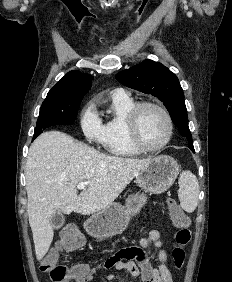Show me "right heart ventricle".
I'll list each match as a JSON object with an SVG mask.
<instances>
[{
    "label": "right heart ventricle",
    "instance_id": "1",
    "mask_svg": "<svg viewBox=\"0 0 232 282\" xmlns=\"http://www.w3.org/2000/svg\"><path fill=\"white\" fill-rule=\"evenodd\" d=\"M134 105L135 102L129 95H111L101 140L103 147L110 154L130 157L142 152L132 144L127 132L126 117Z\"/></svg>",
    "mask_w": 232,
    "mask_h": 282
}]
</instances>
